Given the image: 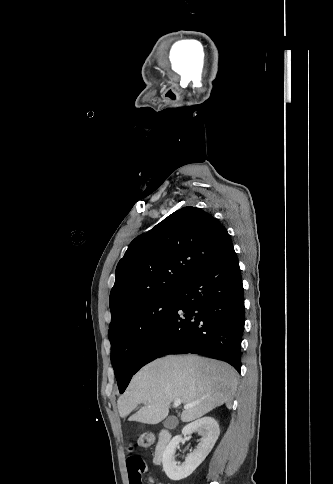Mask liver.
<instances>
[{
  "label": "liver",
  "mask_w": 333,
  "mask_h": 484,
  "mask_svg": "<svg viewBox=\"0 0 333 484\" xmlns=\"http://www.w3.org/2000/svg\"><path fill=\"white\" fill-rule=\"evenodd\" d=\"M237 383V372L227 363L193 355L167 356L133 376L118 399V410L124 418L144 403L128 420L157 424L168 415L170 404L181 399L192 406L178 416L190 422L223 404L231 409Z\"/></svg>",
  "instance_id": "obj_1"
}]
</instances>
